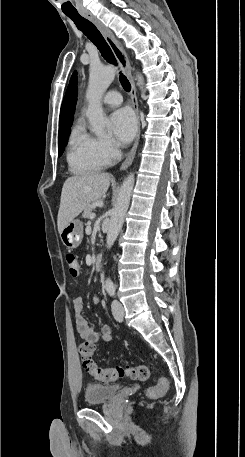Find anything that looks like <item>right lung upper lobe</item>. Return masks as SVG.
<instances>
[{
	"instance_id": "obj_1",
	"label": "right lung upper lobe",
	"mask_w": 245,
	"mask_h": 457,
	"mask_svg": "<svg viewBox=\"0 0 245 457\" xmlns=\"http://www.w3.org/2000/svg\"><path fill=\"white\" fill-rule=\"evenodd\" d=\"M77 102V74L73 73L63 99L59 118V128L71 125Z\"/></svg>"
}]
</instances>
